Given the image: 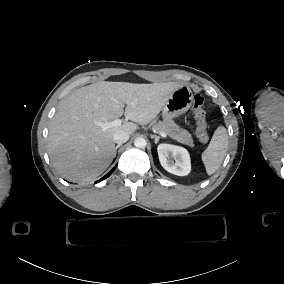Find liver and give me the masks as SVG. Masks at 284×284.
Listing matches in <instances>:
<instances>
[{
  "mask_svg": "<svg viewBox=\"0 0 284 284\" xmlns=\"http://www.w3.org/2000/svg\"><path fill=\"white\" fill-rule=\"evenodd\" d=\"M182 86L178 82L102 81L71 92L60 103L49 128L48 153L53 166L73 182L97 178L113 161L114 134L131 135L139 126L152 123ZM123 114L126 121L117 127L103 130L93 124V120L108 122Z\"/></svg>",
  "mask_w": 284,
  "mask_h": 284,
  "instance_id": "6515ba94",
  "label": "liver"
}]
</instances>
